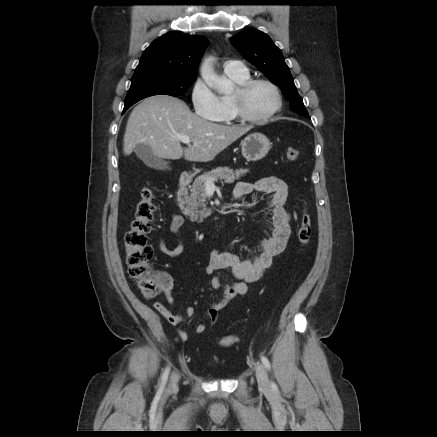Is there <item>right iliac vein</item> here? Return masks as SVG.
<instances>
[{"instance_id":"obj_1","label":"right iliac vein","mask_w":437,"mask_h":437,"mask_svg":"<svg viewBox=\"0 0 437 437\" xmlns=\"http://www.w3.org/2000/svg\"><path fill=\"white\" fill-rule=\"evenodd\" d=\"M178 381L179 375L177 373H173L169 384L170 389H175L177 387Z\"/></svg>"}]
</instances>
